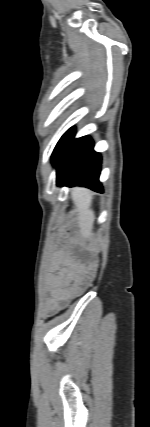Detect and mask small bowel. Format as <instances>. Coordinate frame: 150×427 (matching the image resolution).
<instances>
[{"mask_svg":"<svg viewBox=\"0 0 150 427\" xmlns=\"http://www.w3.org/2000/svg\"><path fill=\"white\" fill-rule=\"evenodd\" d=\"M72 277L69 274L58 275L51 279L50 299L48 309L51 312L57 311L62 304L67 302L78 290V284L72 283Z\"/></svg>","mask_w":150,"mask_h":427,"instance_id":"c3829d8e","label":"small bowel"}]
</instances>
